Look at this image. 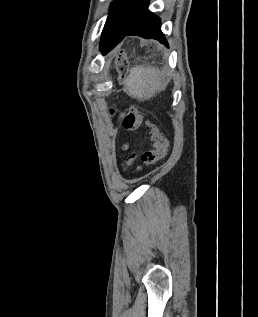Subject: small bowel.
Here are the masks:
<instances>
[{"instance_id": "obj_1", "label": "small bowel", "mask_w": 258, "mask_h": 317, "mask_svg": "<svg viewBox=\"0 0 258 317\" xmlns=\"http://www.w3.org/2000/svg\"><path fill=\"white\" fill-rule=\"evenodd\" d=\"M127 148H128L127 146L124 147L125 150H126ZM135 155H136V154H132V155L127 159V162H126L127 165H130V164L134 161Z\"/></svg>"}]
</instances>
